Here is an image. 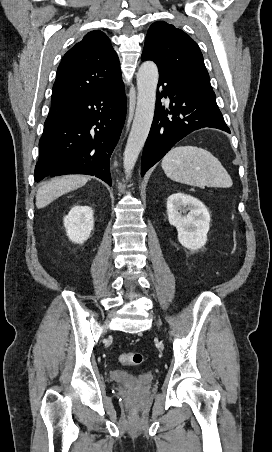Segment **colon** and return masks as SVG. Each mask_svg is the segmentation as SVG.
<instances>
[{
    "label": "colon",
    "instance_id": "5ec220e1",
    "mask_svg": "<svg viewBox=\"0 0 272 452\" xmlns=\"http://www.w3.org/2000/svg\"><path fill=\"white\" fill-rule=\"evenodd\" d=\"M119 361L123 365L136 366L142 363L143 356L138 352L124 353L120 355Z\"/></svg>",
    "mask_w": 272,
    "mask_h": 452
}]
</instances>
